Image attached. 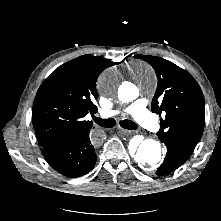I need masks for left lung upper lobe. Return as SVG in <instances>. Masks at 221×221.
I'll list each match as a JSON object with an SVG mask.
<instances>
[{
    "label": "left lung upper lobe",
    "instance_id": "left-lung-upper-lobe-1",
    "mask_svg": "<svg viewBox=\"0 0 221 221\" xmlns=\"http://www.w3.org/2000/svg\"><path fill=\"white\" fill-rule=\"evenodd\" d=\"M155 70L158 86L152 100V112L166 113L160 119L159 139L172 140L195 148L205 124V102L196 80L185 70L165 59L136 55Z\"/></svg>",
    "mask_w": 221,
    "mask_h": 221
}]
</instances>
